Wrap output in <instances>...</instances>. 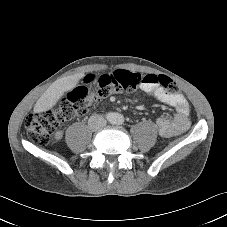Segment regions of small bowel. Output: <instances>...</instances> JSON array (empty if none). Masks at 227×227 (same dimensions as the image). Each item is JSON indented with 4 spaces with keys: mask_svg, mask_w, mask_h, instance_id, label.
Listing matches in <instances>:
<instances>
[{
    "mask_svg": "<svg viewBox=\"0 0 227 227\" xmlns=\"http://www.w3.org/2000/svg\"><path fill=\"white\" fill-rule=\"evenodd\" d=\"M96 83V76L94 74H87L82 78V85L84 87H91ZM141 89L153 95L157 100L175 109L173 117L160 116L156 119V126L159 134L162 137L169 138L185 132L189 126V104L186 98L180 93H170L162 86L157 84H143ZM61 132L56 134V138H61Z\"/></svg>",
    "mask_w": 227,
    "mask_h": 227,
    "instance_id": "1",
    "label": "small bowel"
}]
</instances>
